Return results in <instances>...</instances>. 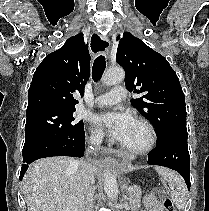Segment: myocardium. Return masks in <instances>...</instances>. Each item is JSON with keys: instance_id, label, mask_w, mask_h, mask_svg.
Listing matches in <instances>:
<instances>
[{"instance_id": "myocardium-1", "label": "myocardium", "mask_w": 209, "mask_h": 211, "mask_svg": "<svg viewBox=\"0 0 209 211\" xmlns=\"http://www.w3.org/2000/svg\"><path fill=\"white\" fill-rule=\"evenodd\" d=\"M135 122L141 125L145 129L146 132L145 143L136 148L127 147L123 144H121L120 147L123 151L131 155H143L150 152L154 148L157 140L156 131L153 125L144 118H136Z\"/></svg>"}]
</instances>
